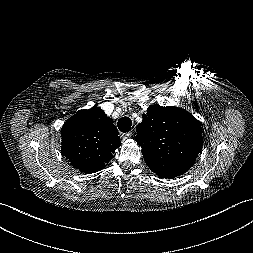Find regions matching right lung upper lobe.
<instances>
[{"mask_svg": "<svg viewBox=\"0 0 253 253\" xmlns=\"http://www.w3.org/2000/svg\"><path fill=\"white\" fill-rule=\"evenodd\" d=\"M61 153L79 171H100L121 145L113 120L97 106L70 117L61 129Z\"/></svg>", "mask_w": 253, "mask_h": 253, "instance_id": "right-lung-upper-lobe-1", "label": "right lung upper lobe"}]
</instances>
